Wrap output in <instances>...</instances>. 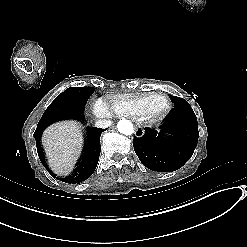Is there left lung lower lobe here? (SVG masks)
Masks as SVG:
<instances>
[{
	"instance_id": "left-lung-lower-lobe-1",
	"label": "left lung lower lobe",
	"mask_w": 247,
	"mask_h": 247,
	"mask_svg": "<svg viewBox=\"0 0 247 247\" xmlns=\"http://www.w3.org/2000/svg\"><path fill=\"white\" fill-rule=\"evenodd\" d=\"M161 131H138L135 153L144 166L159 172L181 168L193 155L198 142L197 117L191 106L175 107L161 125Z\"/></svg>"
}]
</instances>
